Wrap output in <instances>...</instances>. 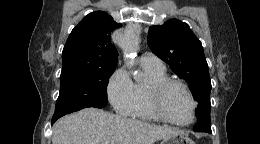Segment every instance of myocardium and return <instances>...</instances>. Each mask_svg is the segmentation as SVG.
<instances>
[{"mask_svg": "<svg viewBox=\"0 0 260 144\" xmlns=\"http://www.w3.org/2000/svg\"><path fill=\"white\" fill-rule=\"evenodd\" d=\"M173 87H180L187 94L188 98L191 101L192 113H191L190 120L187 122L174 121L173 119H171L167 116V114L165 113V111L163 109V106H162L163 98H164L166 92ZM148 104H149L152 112L154 113V115L158 119H160L166 123H169V124H172L175 126H179V127H185V126H189L190 124H192L193 121L195 120L197 102H196L191 90L189 89V87L185 83H183L179 80L168 78L165 80L153 82L148 89Z\"/></svg>", "mask_w": 260, "mask_h": 144, "instance_id": "obj_1", "label": "myocardium"}]
</instances>
